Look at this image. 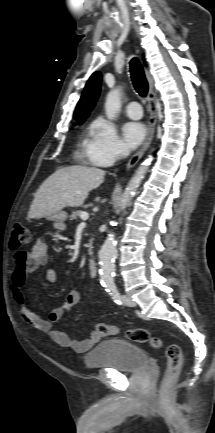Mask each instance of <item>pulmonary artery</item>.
<instances>
[{"label":"pulmonary artery","mask_w":215,"mask_h":433,"mask_svg":"<svg viewBox=\"0 0 215 433\" xmlns=\"http://www.w3.org/2000/svg\"><path fill=\"white\" fill-rule=\"evenodd\" d=\"M126 113L132 119H139L142 116V108L139 102L132 101L126 106Z\"/></svg>","instance_id":"pulmonary-artery-1"}]
</instances>
